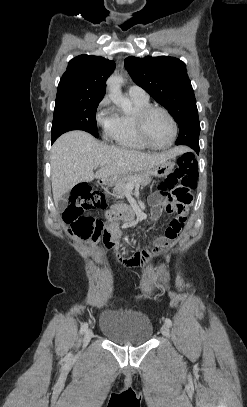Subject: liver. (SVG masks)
<instances>
[{
	"mask_svg": "<svg viewBox=\"0 0 247 407\" xmlns=\"http://www.w3.org/2000/svg\"><path fill=\"white\" fill-rule=\"evenodd\" d=\"M185 150L175 147L161 153H143L104 145L84 131L65 133L55 141L51 150L54 202L57 204L78 183L147 171ZM94 168H99L95 174Z\"/></svg>",
	"mask_w": 247,
	"mask_h": 407,
	"instance_id": "obj_1",
	"label": "liver"
}]
</instances>
